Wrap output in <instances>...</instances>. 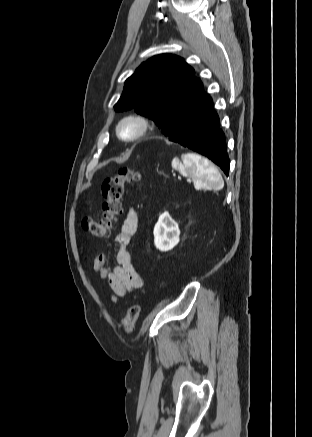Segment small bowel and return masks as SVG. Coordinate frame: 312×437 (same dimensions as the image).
I'll list each match as a JSON object with an SVG mask.
<instances>
[{
	"label": "small bowel",
	"instance_id": "obj_1",
	"mask_svg": "<svg viewBox=\"0 0 312 437\" xmlns=\"http://www.w3.org/2000/svg\"><path fill=\"white\" fill-rule=\"evenodd\" d=\"M137 226V211L134 207H130L120 231L114 238L117 245V265L114 268L109 266V256L106 253H98L93 259L94 271L101 279L108 282L115 300L143 286V280L132 263L128 249Z\"/></svg>",
	"mask_w": 312,
	"mask_h": 437
}]
</instances>
